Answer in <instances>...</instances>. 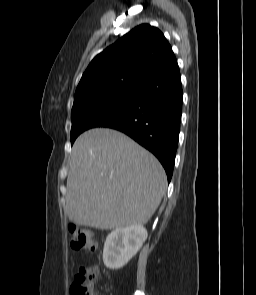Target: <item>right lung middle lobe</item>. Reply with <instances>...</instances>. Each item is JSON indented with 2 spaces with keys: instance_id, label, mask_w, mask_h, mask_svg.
Listing matches in <instances>:
<instances>
[{
  "instance_id": "obj_1",
  "label": "right lung middle lobe",
  "mask_w": 256,
  "mask_h": 295,
  "mask_svg": "<svg viewBox=\"0 0 256 295\" xmlns=\"http://www.w3.org/2000/svg\"><path fill=\"white\" fill-rule=\"evenodd\" d=\"M136 98V92L123 93L94 103L75 102L71 119V144L87 129L100 126L129 107Z\"/></svg>"
}]
</instances>
